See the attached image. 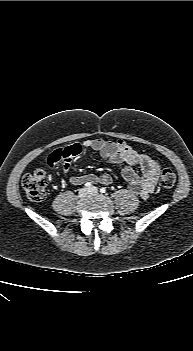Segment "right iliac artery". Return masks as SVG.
I'll return each instance as SVG.
<instances>
[{
  "mask_svg": "<svg viewBox=\"0 0 193 351\" xmlns=\"http://www.w3.org/2000/svg\"><path fill=\"white\" fill-rule=\"evenodd\" d=\"M91 186H92V184L90 182L85 183L86 188H90Z\"/></svg>",
  "mask_w": 193,
  "mask_h": 351,
  "instance_id": "obj_1",
  "label": "right iliac artery"
}]
</instances>
